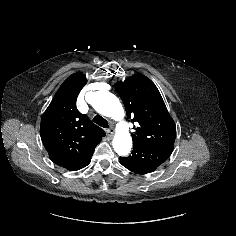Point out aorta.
Listing matches in <instances>:
<instances>
[{"mask_svg":"<svg viewBox=\"0 0 236 236\" xmlns=\"http://www.w3.org/2000/svg\"><path fill=\"white\" fill-rule=\"evenodd\" d=\"M90 103L98 113L120 121L112 144L118 155H128L132 148V138L127 131L126 123L121 121L125 113L119 99L110 92L98 91L93 93Z\"/></svg>","mask_w":236,"mask_h":236,"instance_id":"762f6f07","label":"aorta"}]
</instances>
